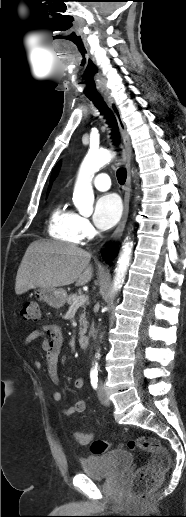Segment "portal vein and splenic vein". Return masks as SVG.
I'll return each instance as SVG.
<instances>
[{
	"instance_id": "1",
	"label": "portal vein and splenic vein",
	"mask_w": 186,
	"mask_h": 517,
	"mask_svg": "<svg viewBox=\"0 0 186 517\" xmlns=\"http://www.w3.org/2000/svg\"><path fill=\"white\" fill-rule=\"evenodd\" d=\"M87 300V297L85 295H80L78 298H76L72 304V307H79L83 305Z\"/></svg>"
}]
</instances>
